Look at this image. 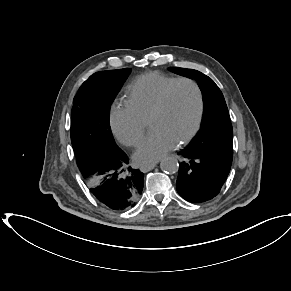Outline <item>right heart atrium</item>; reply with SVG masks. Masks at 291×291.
I'll list each match as a JSON object with an SVG mask.
<instances>
[{
	"label": "right heart atrium",
	"mask_w": 291,
	"mask_h": 291,
	"mask_svg": "<svg viewBox=\"0 0 291 291\" xmlns=\"http://www.w3.org/2000/svg\"><path fill=\"white\" fill-rule=\"evenodd\" d=\"M113 134L125 146L137 145L144 136L146 122L127 103L113 107L110 114Z\"/></svg>",
	"instance_id": "right-heart-atrium-1"
}]
</instances>
